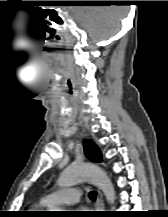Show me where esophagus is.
<instances>
[{
	"label": "esophagus",
	"instance_id": "esophagus-1",
	"mask_svg": "<svg viewBox=\"0 0 168 217\" xmlns=\"http://www.w3.org/2000/svg\"><path fill=\"white\" fill-rule=\"evenodd\" d=\"M97 209L101 210L104 208V204H103V200H102V196H101V193L99 192L98 194V199H97Z\"/></svg>",
	"mask_w": 168,
	"mask_h": 217
}]
</instances>
